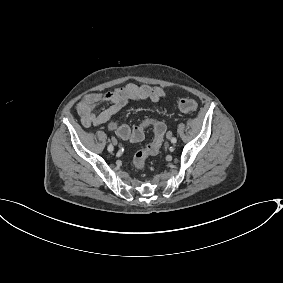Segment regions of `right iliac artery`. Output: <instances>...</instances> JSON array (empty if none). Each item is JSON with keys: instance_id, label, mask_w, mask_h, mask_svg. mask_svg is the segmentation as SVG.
Instances as JSON below:
<instances>
[{"instance_id": "obj_1", "label": "right iliac artery", "mask_w": 283, "mask_h": 283, "mask_svg": "<svg viewBox=\"0 0 283 283\" xmlns=\"http://www.w3.org/2000/svg\"><path fill=\"white\" fill-rule=\"evenodd\" d=\"M107 150H108L109 152H112V151H113V146H112V144H110V145L108 146Z\"/></svg>"}]
</instances>
